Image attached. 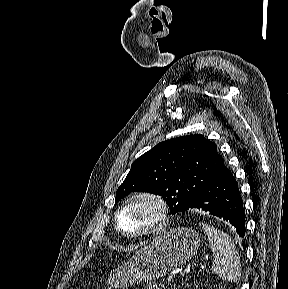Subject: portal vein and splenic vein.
I'll use <instances>...</instances> for the list:
<instances>
[{"label":"portal vein and splenic vein","mask_w":288,"mask_h":289,"mask_svg":"<svg viewBox=\"0 0 288 289\" xmlns=\"http://www.w3.org/2000/svg\"><path fill=\"white\" fill-rule=\"evenodd\" d=\"M173 276H174V274H171V275L168 277L167 282H170V281L172 280Z\"/></svg>","instance_id":"1"}]
</instances>
